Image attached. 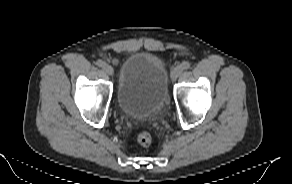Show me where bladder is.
I'll return each mask as SVG.
<instances>
[{"label":"bladder","mask_w":292,"mask_h":184,"mask_svg":"<svg viewBox=\"0 0 292 184\" xmlns=\"http://www.w3.org/2000/svg\"><path fill=\"white\" fill-rule=\"evenodd\" d=\"M117 103L126 116L157 119L169 99V77L163 61L151 53H133L123 62Z\"/></svg>","instance_id":"bladder-1"}]
</instances>
